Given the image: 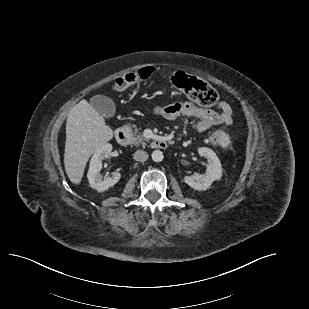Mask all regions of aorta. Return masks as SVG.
I'll use <instances>...</instances> for the list:
<instances>
[{
  "label": "aorta",
  "instance_id": "obj_1",
  "mask_svg": "<svg viewBox=\"0 0 309 309\" xmlns=\"http://www.w3.org/2000/svg\"><path fill=\"white\" fill-rule=\"evenodd\" d=\"M151 157H152V160H153L154 162H161V161L163 160V158H164V155H163V152H162V151H160V150H154V151L152 152Z\"/></svg>",
  "mask_w": 309,
  "mask_h": 309
}]
</instances>
